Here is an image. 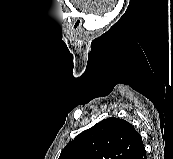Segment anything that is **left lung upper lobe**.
I'll use <instances>...</instances> for the list:
<instances>
[{"mask_svg": "<svg viewBox=\"0 0 173 159\" xmlns=\"http://www.w3.org/2000/svg\"><path fill=\"white\" fill-rule=\"evenodd\" d=\"M142 146L141 136L129 122L110 117L70 141L59 159H132Z\"/></svg>", "mask_w": 173, "mask_h": 159, "instance_id": "obj_1", "label": "left lung upper lobe"}]
</instances>
